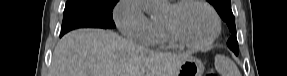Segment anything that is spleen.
Wrapping results in <instances>:
<instances>
[{
	"label": "spleen",
	"mask_w": 287,
	"mask_h": 76,
	"mask_svg": "<svg viewBox=\"0 0 287 76\" xmlns=\"http://www.w3.org/2000/svg\"><path fill=\"white\" fill-rule=\"evenodd\" d=\"M215 68L221 76H241L236 64L224 55L215 56Z\"/></svg>",
	"instance_id": "obj_1"
}]
</instances>
